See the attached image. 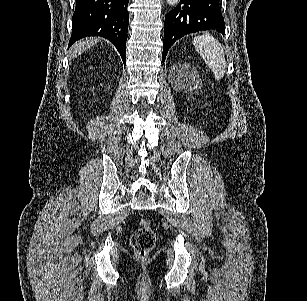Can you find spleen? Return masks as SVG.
Listing matches in <instances>:
<instances>
[{"mask_svg":"<svg viewBox=\"0 0 307 301\" xmlns=\"http://www.w3.org/2000/svg\"><path fill=\"white\" fill-rule=\"evenodd\" d=\"M193 44L211 68L216 80H221L226 72L225 52L221 42L210 34H200L194 36Z\"/></svg>","mask_w":307,"mask_h":301,"instance_id":"1","label":"spleen"}]
</instances>
